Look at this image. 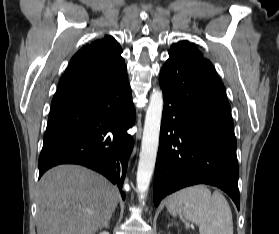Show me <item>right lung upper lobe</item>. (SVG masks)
Segmentation results:
<instances>
[{"mask_svg": "<svg viewBox=\"0 0 279 234\" xmlns=\"http://www.w3.org/2000/svg\"><path fill=\"white\" fill-rule=\"evenodd\" d=\"M122 49L112 36L85 45L71 59L53 100L100 86L126 71Z\"/></svg>", "mask_w": 279, "mask_h": 234, "instance_id": "right-lung-upper-lobe-1", "label": "right lung upper lobe"}]
</instances>
